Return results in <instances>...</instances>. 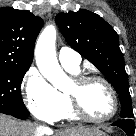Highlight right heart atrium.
I'll return each mask as SVG.
<instances>
[{"mask_svg": "<svg viewBox=\"0 0 136 136\" xmlns=\"http://www.w3.org/2000/svg\"><path fill=\"white\" fill-rule=\"evenodd\" d=\"M24 102L37 118L52 121L60 111L58 91L35 68H30L22 81Z\"/></svg>", "mask_w": 136, "mask_h": 136, "instance_id": "1", "label": "right heart atrium"}]
</instances>
